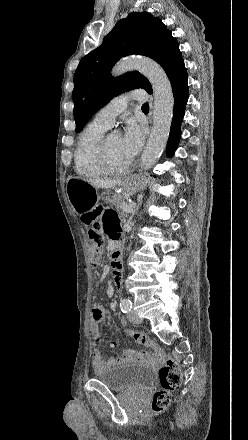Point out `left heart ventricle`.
I'll list each match as a JSON object with an SVG mask.
<instances>
[{
  "instance_id": "1",
  "label": "left heart ventricle",
  "mask_w": 248,
  "mask_h": 440,
  "mask_svg": "<svg viewBox=\"0 0 248 440\" xmlns=\"http://www.w3.org/2000/svg\"><path fill=\"white\" fill-rule=\"evenodd\" d=\"M121 137L115 134L108 136V151L111 163L116 167H123L130 161L125 157L120 145Z\"/></svg>"
}]
</instances>
